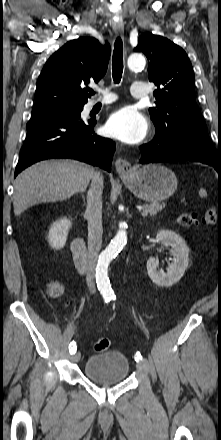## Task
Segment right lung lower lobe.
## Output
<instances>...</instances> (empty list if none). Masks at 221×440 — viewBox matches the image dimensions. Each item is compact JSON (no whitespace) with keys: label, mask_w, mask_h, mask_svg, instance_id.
<instances>
[{"label":"right lung lower lobe","mask_w":221,"mask_h":440,"mask_svg":"<svg viewBox=\"0 0 221 440\" xmlns=\"http://www.w3.org/2000/svg\"><path fill=\"white\" fill-rule=\"evenodd\" d=\"M80 113L32 116L20 150L15 177L28 166L45 159L71 158L111 171L115 143L95 135L96 119L82 121Z\"/></svg>","instance_id":"obj_1"}]
</instances>
